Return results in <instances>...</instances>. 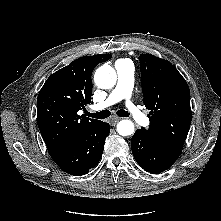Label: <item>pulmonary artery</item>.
<instances>
[{
	"label": "pulmonary artery",
	"mask_w": 221,
	"mask_h": 221,
	"mask_svg": "<svg viewBox=\"0 0 221 221\" xmlns=\"http://www.w3.org/2000/svg\"><path fill=\"white\" fill-rule=\"evenodd\" d=\"M117 71V84L109 96L94 105V109L101 111L111 105L125 100V105L134 121L140 125H148L149 118L131 101V94L134 82V67L128 62H118L115 65Z\"/></svg>",
	"instance_id": "obj_1"
}]
</instances>
